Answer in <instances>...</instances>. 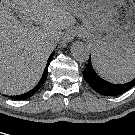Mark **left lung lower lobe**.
<instances>
[{"label": "left lung lower lobe", "instance_id": "0a47b994", "mask_svg": "<svg viewBox=\"0 0 135 135\" xmlns=\"http://www.w3.org/2000/svg\"><path fill=\"white\" fill-rule=\"evenodd\" d=\"M83 77L97 93L105 96H118L135 86V79L125 84H113L103 80L95 73L90 59L83 71Z\"/></svg>", "mask_w": 135, "mask_h": 135}]
</instances>
